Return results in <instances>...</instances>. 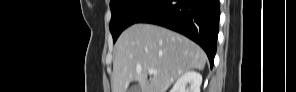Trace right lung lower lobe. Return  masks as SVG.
<instances>
[{
	"mask_svg": "<svg viewBox=\"0 0 296 92\" xmlns=\"http://www.w3.org/2000/svg\"><path fill=\"white\" fill-rule=\"evenodd\" d=\"M219 17V0H158L135 23L156 24L187 36L204 49L212 67Z\"/></svg>",
	"mask_w": 296,
	"mask_h": 92,
	"instance_id": "98d812e1",
	"label": "right lung lower lobe"
}]
</instances>
